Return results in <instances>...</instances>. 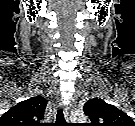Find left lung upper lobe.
I'll use <instances>...</instances> for the list:
<instances>
[{
  "label": "left lung upper lobe",
  "instance_id": "obj_1",
  "mask_svg": "<svg viewBox=\"0 0 135 126\" xmlns=\"http://www.w3.org/2000/svg\"><path fill=\"white\" fill-rule=\"evenodd\" d=\"M83 110L91 121L90 126H135L127 114L100 98L87 101Z\"/></svg>",
  "mask_w": 135,
  "mask_h": 126
}]
</instances>
